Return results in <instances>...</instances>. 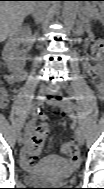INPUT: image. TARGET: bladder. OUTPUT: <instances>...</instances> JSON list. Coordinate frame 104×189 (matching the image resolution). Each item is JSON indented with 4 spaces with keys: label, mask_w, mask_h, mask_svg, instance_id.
I'll return each mask as SVG.
<instances>
[{
    "label": "bladder",
    "mask_w": 104,
    "mask_h": 189,
    "mask_svg": "<svg viewBox=\"0 0 104 189\" xmlns=\"http://www.w3.org/2000/svg\"><path fill=\"white\" fill-rule=\"evenodd\" d=\"M78 168L70 160L57 155L44 157L35 167L27 171L25 181L31 185L63 184Z\"/></svg>",
    "instance_id": "31cf9c89"
}]
</instances>
